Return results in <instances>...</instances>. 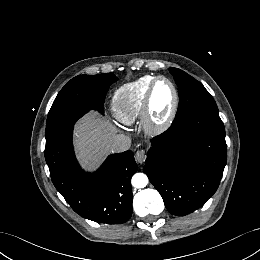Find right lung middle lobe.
Instances as JSON below:
<instances>
[{
	"label": "right lung middle lobe",
	"mask_w": 260,
	"mask_h": 260,
	"mask_svg": "<svg viewBox=\"0 0 260 260\" xmlns=\"http://www.w3.org/2000/svg\"><path fill=\"white\" fill-rule=\"evenodd\" d=\"M117 81L111 73L80 75L71 79L59 92L49 111L46 125V146L86 112H104V99L109 86Z\"/></svg>",
	"instance_id": "right-lung-middle-lobe-1"
}]
</instances>
